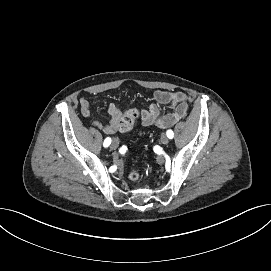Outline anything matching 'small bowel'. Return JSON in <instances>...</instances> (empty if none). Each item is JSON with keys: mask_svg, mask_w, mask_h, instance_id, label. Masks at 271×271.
Returning a JSON list of instances; mask_svg holds the SVG:
<instances>
[{"mask_svg": "<svg viewBox=\"0 0 271 271\" xmlns=\"http://www.w3.org/2000/svg\"><path fill=\"white\" fill-rule=\"evenodd\" d=\"M155 103H152L147 109H143L139 113V119L143 126L156 125L161 128H167L182 118H184L188 111V96L182 91L171 92L167 90H157L154 93ZM81 113L85 117H91L90 102L81 98L79 100ZM170 105V110L162 112L160 105ZM108 113L111 117L106 124L95 120L94 126L102 130L105 134H113L118 129L119 120L122 117V110L114 103L108 106Z\"/></svg>", "mask_w": 271, "mask_h": 271, "instance_id": "obj_1", "label": "small bowel"}]
</instances>
